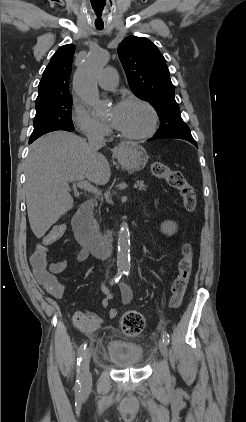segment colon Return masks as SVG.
Here are the masks:
<instances>
[{"label": "colon", "instance_id": "obj_1", "mask_svg": "<svg viewBox=\"0 0 246 422\" xmlns=\"http://www.w3.org/2000/svg\"><path fill=\"white\" fill-rule=\"evenodd\" d=\"M151 172L155 177L166 180L171 187L179 192L183 205L187 211L191 212L196 208V192L181 172L171 170L162 162H154L151 165ZM65 231L66 227L63 224L53 226L43 238V244L39 245L31 255L30 262L37 276L43 277L47 273V246L59 240L64 235ZM192 268L193 248L190 243H186L183 246L182 257L177 265V275L171 286L170 304L172 308L177 309L182 305L192 273ZM119 325L124 334L128 336H136L143 331L145 327V319L141 313L130 310L121 316Z\"/></svg>", "mask_w": 246, "mask_h": 422}]
</instances>
